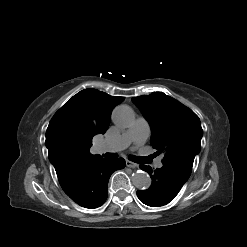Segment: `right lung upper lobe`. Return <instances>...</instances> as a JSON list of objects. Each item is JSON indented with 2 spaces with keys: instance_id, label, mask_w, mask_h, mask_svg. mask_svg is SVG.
<instances>
[{
  "instance_id": "cb5924a9",
  "label": "right lung upper lobe",
  "mask_w": 247,
  "mask_h": 247,
  "mask_svg": "<svg viewBox=\"0 0 247 247\" xmlns=\"http://www.w3.org/2000/svg\"><path fill=\"white\" fill-rule=\"evenodd\" d=\"M123 100L89 88L56 112L47 128L45 144L57 176L102 158L89 152L92 138L106 132L113 108Z\"/></svg>"
}]
</instances>
